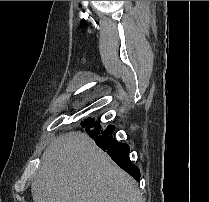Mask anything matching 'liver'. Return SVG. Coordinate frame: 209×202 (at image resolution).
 Returning a JSON list of instances; mask_svg holds the SVG:
<instances>
[{
	"label": "liver",
	"instance_id": "obj_1",
	"mask_svg": "<svg viewBox=\"0 0 209 202\" xmlns=\"http://www.w3.org/2000/svg\"><path fill=\"white\" fill-rule=\"evenodd\" d=\"M31 192L34 202H142L132 177L80 132L50 143Z\"/></svg>",
	"mask_w": 209,
	"mask_h": 202
}]
</instances>
